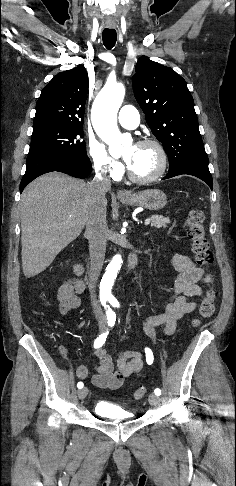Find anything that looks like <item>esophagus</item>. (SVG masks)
Segmentation results:
<instances>
[{"instance_id": "34e87169", "label": "esophagus", "mask_w": 236, "mask_h": 486, "mask_svg": "<svg viewBox=\"0 0 236 486\" xmlns=\"http://www.w3.org/2000/svg\"><path fill=\"white\" fill-rule=\"evenodd\" d=\"M116 195L119 198H123V197H129L130 193L128 191H125V190H118Z\"/></svg>"}]
</instances>
